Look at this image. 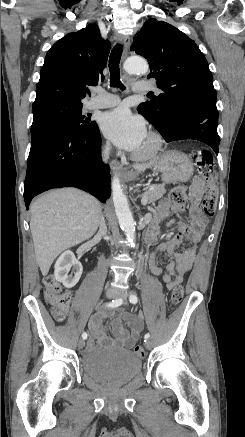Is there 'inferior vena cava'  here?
Returning a JSON list of instances; mask_svg holds the SVG:
<instances>
[{
	"mask_svg": "<svg viewBox=\"0 0 245 437\" xmlns=\"http://www.w3.org/2000/svg\"><path fill=\"white\" fill-rule=\"evenodd\" d=\"M109 152H110V145H107L104 152H103L104 160H107L109 158ZM99 227H100V232L106 233L107 227L105 225V220H104V217H102V215L100 217Z\"/></svg>",
	"mask_w": 245,
	"mask_h": 437,
	"instance_id": "obj_1",
	"label": "inferior vena cava"
}]
</instances>
